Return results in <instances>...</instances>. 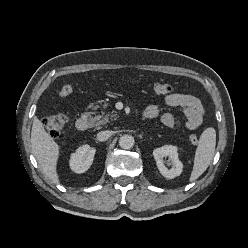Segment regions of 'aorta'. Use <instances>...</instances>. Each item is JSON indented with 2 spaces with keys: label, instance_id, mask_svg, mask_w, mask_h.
<instances>
[{
  "label": "aorta",
  "instance_id": "obj_1",
  "mask_svg": "<svg viewBox=\"0 0 248 248\" xmlns=\"http://www.w3.org/2000/svg\"><path fill=\"white\" fill-rule=\"evenodd\" d=\"M135 140L132 135L124 134L119 139V146L122 149L128 150L134 146Z\"/></svg>",
  "mask_w": 248,
  "mask_h": 248
}]
</instances>
